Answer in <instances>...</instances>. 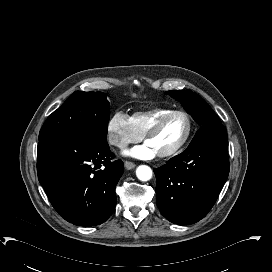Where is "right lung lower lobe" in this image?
I'll list each match as a JSON object with an SVG mask.
<instances>
[{
    "instance_id": "right-lung-lower-lobe-1",
    "label": "right lung lower lobe",
    "mask_w": 272,
    "mask_h": 272,
    "mask_svg": "<svg viewBox=\"0 0 272 272\" xmlns=\"http://www.w3.org/2000/svg\"><path fill=\"white\" fill-rule=\"evenodd\" d=\"M106 139L60 134L38 144L37 172L55 210L68 222L95 226L116 206L115 187L123 174Z\"/></svg>"
}]
</instances>
